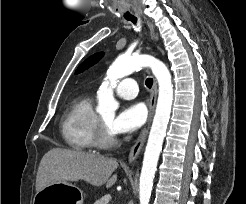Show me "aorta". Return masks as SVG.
I'll return each instance as SVG.
<instances>
[{"instance_id":"aorta-1","label":"aorta","mask_w":246,"mask_h":204,"mask_svg":"<svg viewBox=\"0 0 246 204\" xmlns=\"http://www.w3.org/2000/svg\"><path fill=\"white\" fill-rule=\"evenodd\" d=\"M149 67L158 81V100L153 123L144 152L139 181L140 204H149L159 156L162 150L173 103V84L170 71L160 60L150 55H120L107 71V81L100 87L97 112L114 117L119 107L113 95L115 83L136 69Z\"/></svg>"}]
</instances>
